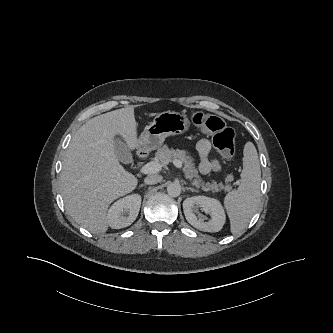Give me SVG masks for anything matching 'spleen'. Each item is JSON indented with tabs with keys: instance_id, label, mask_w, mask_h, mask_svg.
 <instances>
[{
	"instance_id": "spleen-1",
	"label": "spleen",
	"mask_w": 333,
	"mask_h": 333,
	"mask_svg": "<svg viewBox=\"0 0 333 333\" xmlns=\"http://www.w3.org/2000/svg\"><path fill=\"white\" fill-rule=\"evenodd\" d=\"M243 171L240 186L224 198L231 232L243 231L260 203L261 170L257 150L252 142H247L243 150Z\"/></svg>"
}]
</instances>
